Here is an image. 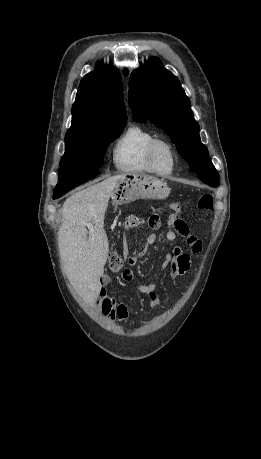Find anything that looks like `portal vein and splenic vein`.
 Here are the masks:
<instances>
[{"mask_svg": "<svg viewBox=\"0 0 261 459\" xmlns=\"http://www.w3.org/2000/svg\"><path fill=\"white\" fill-rule=\"evenodd\" d=\"M86 226H87L88 228H90V229L92 228V225L89 224V223H88Z\"/></svg>", "mask_w": 261, "mask_h": 459, "instance_id": "1", "label": "portal vein and splenic vein"}]
</instances>
